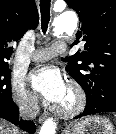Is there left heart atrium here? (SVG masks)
Here are the masks:
<instances>
[{"label":"left heart atrium","mask_w":116,"mask_h":134,"mask_svg":"<svg viewBox=\"0 0 116 134\" xmlns=\"http://www.w3.org/2000/svg\"><path fill=\"white\" fill-rule=\"evenodd\" d=\"M30 86L35 94L55 104H60L67 93L61 73L52 66L34 70L30 75Z\"/></svg>","instance_id":"39dd6f15"}]
</instances>
